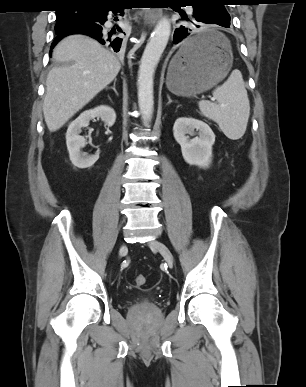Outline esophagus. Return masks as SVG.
I'll return each mask as SVG.
<instances>
[{"mask_svg": "<svg viewBox=\"0 0 306 387\" xmlns=\"http://www.w3.org/2000/svg\"><path fill=\"white\" fill-rule=\"evenodd\" d=\"M162 16V10L159 8H150L145 12L144 23L146 25L152 26L158 22Z\"/></svg>", "mask_w": 306, "mask_h": 387, "instance_id": "1", "label": "esophagus"}]
</instances>
